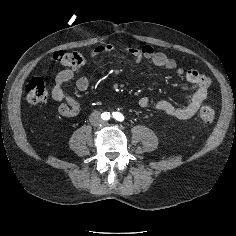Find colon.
Wrapping results in <instances>:
<instances>
[{
    "label": "colon",
    "mask_w": 236,
    "mask_h": 236,
    "mask_svg": "<svg viewBox=\"0 0 236 236\" xmlns=\"http://www.w3.org/2000/svg\"><path fill=\"white\" fill-rule=\"evenodd\" d=\"M54 59L62 66L70 69H79L87 64L85 57L79 52L59 51L54 54ZM27 100L32 104L42 103L47 98V89L43 79L35 77L28 81L25 86ZM201 120L210 124L215 119V111L210 106H202L199 112Z\"/></svg>",
    "instance_id": "1"
}]
</instances>
